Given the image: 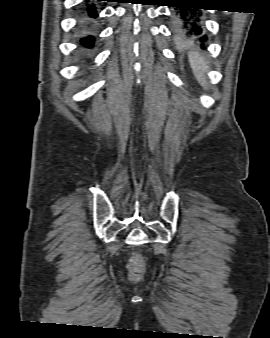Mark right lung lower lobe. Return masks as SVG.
Masks as SVG:
<instances>
[{"mask_svg":"<svg viewBox=\"0 0 270 338\" xmlns=\"http://www.w3.org/2000/svg\"><path fill=\"white\" fill-rule=\"evenodd\" d=\"M97 1L104 0H84L79 24V29L82 33L88 34L95 30L96 21L98 18V11L95 4ZM94 40L95 39L92 35H87L81 39V43L82 45L89 48L93 46Z\"/></svg>","mask_w":270,"mask_h":338,"instance_id":"98d812e1","label":"right lung lower lobe"}]
</instances>
